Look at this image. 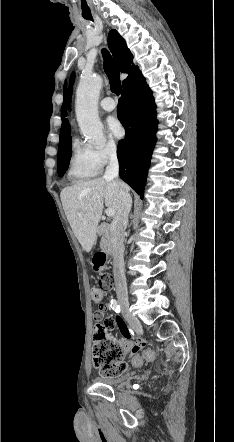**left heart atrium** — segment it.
Listing matches in <instances>:
<instances>
[{"mask_svg":"<svg viewBox=\"0 0 234 442\" xmlns=\"http://www.w3.org/2000/svg\"><path fill=\"white\" fill-rule=\"evenodd\" d=\"M107 128L109 135L115 139H120L124 135V128L120 121L115 117H110L107 120Z\"/></svg>","mask_w":234,"mask_h":442,"instance_id":"1","label":"left heart atrium"}]
</instances>
